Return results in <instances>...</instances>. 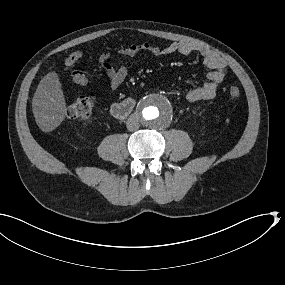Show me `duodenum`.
Returning <instances> with one entry per match:
<instances>
[{
	"mask_svg": "<svg viewBox=\"0 0 285 285\" xmlns=\"http://www.w3.org/2000/svg\"><path fill=\"white\" fill-rule=\"evenodd\" d=\"M135 101L132 98L125 99L121 102L114 103L110 108L112 116L118 119L126 118L133 110Z\"/></svg>",
	"mask_w": 285,
	"mask_h": 285,
	"instance_id": "duodenum-1",
	"label": "duodenum"
}]
</instances>
